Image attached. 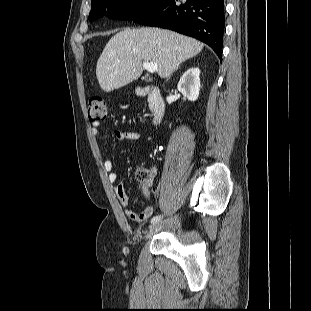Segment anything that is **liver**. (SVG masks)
<instances>
[{
  "label": "liver",
  "mask_w": 311,
  "mask_h": 311,
  "mask_svg": "<svg viewBox=\"0 0 311 311\" xmlns=\"http://www.w3.org/2000/svg\"><path fill=\"white\" fill-rule=\"evenodd\" d=\"M202 48L196 39L173 31L126 28L106 44L97 62V80L105 92L119 89L140 77L142 61L156 63L158 75L167 78Z\"/></svg>",
  "instance_id": "1"
}]
</instances>
